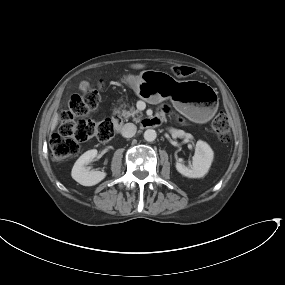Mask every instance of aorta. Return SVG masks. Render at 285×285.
I'll use <instances>...</instances> for the list:
<instances>
[{
    "label": "aorta",
    "instance_id": "1",
    "mask_svg": "<svg viewBox=\"0 0 285 285\" xmlns=\"http://www.w3.org/2000/svg\"><path fill=\"white\" fill-rule=\"evenodd\" d=\"M156 137H157V133L153 129H147L144 132V139L148 142L154 141L156 139Z\"/></svg>",
    "mask_w": 285,
    "mask_h": 285
}]
</instances>
